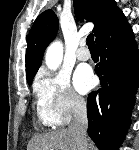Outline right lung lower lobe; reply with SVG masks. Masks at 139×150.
I'll return each mask as SVG.
<instances>
[{
  "instance_id": "obj_1",
  "label": "right lung lower lobe",
  "mask_w": 139,
  "mask_h": 150,
  "mask_svg": "<svg viewBox=\"0 0 139 150\" xmlns=\"http://www.w3.org/2000/svg\"><path fill=\"white\" fill-rule=\"evenodd\" d=\"M101 88L87 100L88 134L99 150H117L130 125L139 82V55L130 25L120 11L96 40Z\"/></svg>"
}]
</instances>
